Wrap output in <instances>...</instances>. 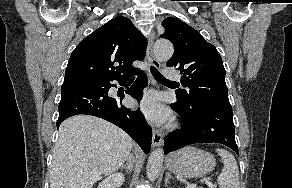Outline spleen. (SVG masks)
<instances>
[{
  "label": "spleen",
  "mask_w": 292,
  "mask_h": 188,
  "mask_svg": "<svg viewBox=\"0 0 292 188\" xmlns=\"http://www.w3.org/2000/svg\"><path fill=\"white\" fill-rule=\"evenodd\" d=\"M216 152L222 159L224 168L217 178L220 188H240L239 170L236 159L227 150L218 148Z\"/></svg>",
  "instance_id": "obj_1"
}]
</instances>
